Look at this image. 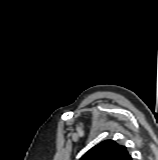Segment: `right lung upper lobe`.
Listing matches in <instances>:
<instances>
[{"mask_svg":"<svg viewBox=\"0 0 158 160\" xmlns=\"http://www.w3.org/2000/svg\"><path fill=\"white\" fill-rule=\"evenodd\" d=\"M80 160H132L125 146L105 140L91 148Z\"/></svg>","mask_w":158,"mask_h":160,"instance_id":"right-lung-upper-lobe-1","label":"right lung upper lobe"}]
</instances>
